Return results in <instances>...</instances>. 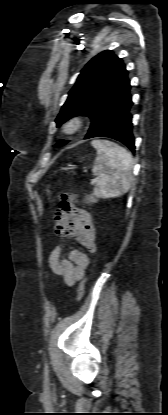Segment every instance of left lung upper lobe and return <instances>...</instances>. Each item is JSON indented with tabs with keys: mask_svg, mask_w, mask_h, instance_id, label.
I'll return each mask as SVG.
<instances>
[{
	"mask_svg": "<svg viewBox=\"0 0 168 415\" xmlns=\"http://www.w3.org/2000/svg\"><path fill=\"white\" fill-rule=\"evenodd\" d=\"M127 75L123 61L112 51H104L95 56L82 69L76 84L70 90L56 119L57 126L77 115L89 116L93 122L104 107L129 86ZM67 142L59 140L55 146H63Z\"/></svg>",
	"mask_w": 168,
	"mask_h": 415,
	"instance_id": "obj_1",
	"label": "left lung upper lobe"
}]
</instances>
